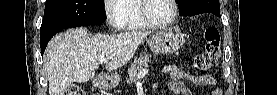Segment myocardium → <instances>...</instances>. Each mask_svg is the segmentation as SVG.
Returning a JSON list of instances; mask_svg holds the SVG:
<instances>
[{"label":"myocardium","instance_id":"myocardium-1","mask_svg":"<svg viewBox=\"0 0 277 95\" xmlns=\"http://www.w3.org/2000/svg\"><path fill=\"white\" fill-rule=\"evenodd\" d=\"M148 1L149 0L141 1L140 11H141V15H142L143 19L150 27L166 28V27L171 26L174 23V21L177 17V14H178V4H177L176 0H170L172 3V6H173V13H172L171 17L164 22H157L149 17V15L147 14V11H146Z\"/></svg>","mask_w":277,"mask_h":95}]
</instances>
